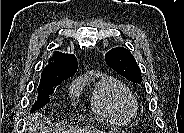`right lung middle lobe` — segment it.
Instances as JSON below:
<instances>
[{
	"mask_svg": "<svg viewBox=\"0 0 184 133\" xmlns=\"http://www.w3.org/2000/svg\"><path fill=\"white\" fill-rule=\"evenodd\" d=\"M61 82H53L49 84L45 88H38V100L34 103V105L31 108V112H34L37 109H40L41 107L45 106L47 103H49V95L54 93L55 87L59 85Z\"/></svg>",
	"mask_w": 184,
	"mask_h": 133,
	"instance_id": "dd1d6c3e",
	"label": "right lung middle lobe"
}]
</instances>
